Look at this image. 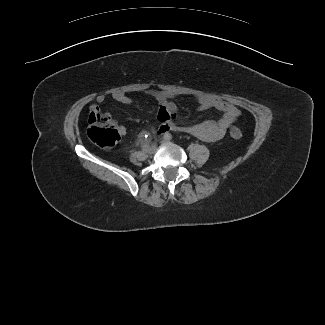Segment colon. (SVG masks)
Wrapping results in <instances>:
<instances>
[{
  "label": "colon",
  "mask_w": 325,
  "mask_h": 325,
  "mask_svg": "<svg viewBox=\"0 0 325 325\" xmlns=\"http://www.w3.org/2000/svg\"><path fill=\"white\" fill-rule=\"evenodd\" d=\"M87 134L93 143L103 149L113 148L119 140V133L114 122L99 112L90 113ZM230 136L233 139H240L243 134L240 129L234 127L230 131Z\"/></svg>",
  "instance_id": "obj_1"
}]
</instances>
